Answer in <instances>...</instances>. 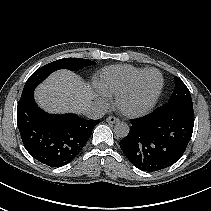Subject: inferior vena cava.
Segmentation results:
<instances>
[{"mask_svg": "<svg viewBox=\"0 0 211 211\" xmlns=\"http://www.w3.org/2000/svg\"><path fill=\"white\" fill-rule=\"evenodd\" d=\"M84 114L90 119H99L105 115V109L102 105L92 104L88 105L84 111Z\"/></svg>", "mask_w": 211, "mask_h": 211, "instance_id": "1", "label": "inferior vena cava"}]
</instances>
